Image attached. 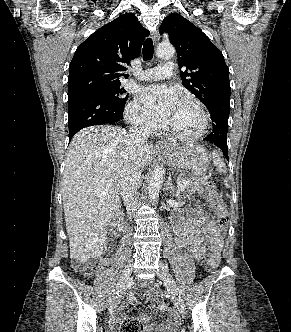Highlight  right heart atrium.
<instances>
[{"instance_id": "1", "label": "right heart atrium", "mask_w": 291, "mask_h": 332, "mask_svg": "<svg viewBox=\"0 0 291 332\" xmlns=\"http://www.w3.org/2000/svg\"><path fill=\"white\" fill-rule=\"evenodd\" d=\"M126 117L133 126L144 131L154 130L157 126L137 100L127 106Z\"/></svg>"}]
</instances>
